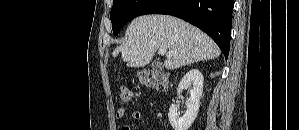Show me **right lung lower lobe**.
<instances>
[{"label": "right lung lower lobe", "mask_w": 299, "mask_h": 130, "mask_svg": "<svg viewBox=\"0 0 299 130\" xmlns=\"http://www.w3.org/2000/svg\"><path fill=\"white\" fill-rule=\"evenodd\" d=\"M234 0H151L139 13L181 18L207 33L228 58Z\"/></svg>", "instance_id": "1"}]
</instances>
